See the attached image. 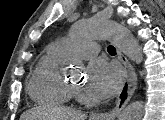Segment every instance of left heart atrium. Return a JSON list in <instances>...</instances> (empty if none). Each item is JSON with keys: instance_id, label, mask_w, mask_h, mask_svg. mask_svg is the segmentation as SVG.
<instances>
[{"instance_id": "39dd6f15", "label": "left heart atrium", "mask_w": 165, "mask_h": 120, "mask_svg": "<svg viewBox=\"0 0 165 120\" xmlns=\"http://www.w3.org/2000/svg\"><path fill=\"white\" fill-rule=\"evenodd\" d=\"M122 82L120 68L104 60H95L88 69L87 90L99 98L114 95Z\"/></svg>"}]
</instances>
